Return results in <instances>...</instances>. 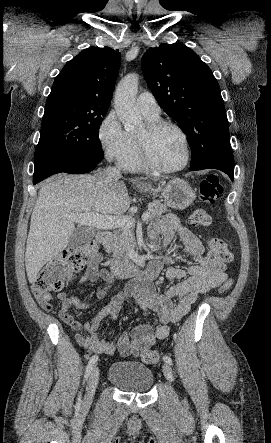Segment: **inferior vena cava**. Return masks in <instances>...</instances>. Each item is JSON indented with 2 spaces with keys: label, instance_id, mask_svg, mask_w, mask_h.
Segmentation results:
<instances>
[{
  "label": "inferior vena cava",
  "instance_id": "inferior-vena-cava-1",
  "mask_svg": "<svg viewBox=\"0 0 271 443\" xmlns=\"http://www.w3.org/2000/svg\"><path fill=\"white\" fill-rule=\"evenodd\" d=\"M103 176L106 178V180H112V178H122L121 172H119L117 168H110V166L104 170Z\"/></svg>",
  "mask_w": 271,
  "mask_h": 443
}]
</instances>
